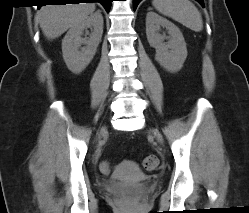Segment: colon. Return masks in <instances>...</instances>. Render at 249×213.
Masks as SVG:
<instances>
[{"mask_svg": "<svg viewBox=\"0 0 249 213\" xmlns=\"http://www.w3.org/2000/svg\"><path fill=\"white\" fill-rule=\"evenodd\" d=\"M142 164L146 170H154L158 167L159 160L155 155H148L143 159ZM102 169L105 172L109 170V165L107 162H103Z\"/></svg>", "mask_w": 249, "mask_h": 213, "instance_id": "5ec220e1", "label": "colon"}]
</instances>
